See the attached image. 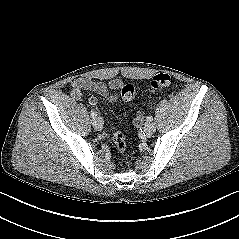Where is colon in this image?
Here are the masks:
<instances>
[{
	"label": "colon",
	"instance_id": "5ec220e1",
	"mask_svg": "<svg viewBox=\"0 0 239 239\" xmlns=\"http://www.w3.org/2000/svg\"><path fill=\"white\" fill-rule=\"evenodd\" d=\"M170 82L171 79L168 74L159 73L152 78L149 89L151 92H156L169 86ZM137 94L138 88L132 84H126L121 89V96L124 101H130L134 99ZM113 142L118 152L124 154L127 151L125 136L121 131L115 132V134L113 135Z\"/></svg>",
	"mask_w": 239,
	"mask_h": 239
}]
</instances>
